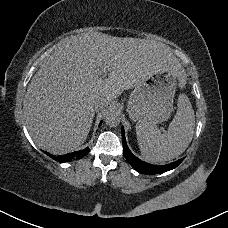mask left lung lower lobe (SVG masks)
<instances>
[{"instance_id": "0a47b994", "label": "left lung lower lobe", "mask_w": 228, "mask_h": 228, "mask_svg": "<svg viewBox=\"0 0 228 228\" xmlns=\"http://www.w3.org/2000/svg\"><path fill=\"white\" fill-rule=\"evenodd\" d=\"M122 140H123V153L126 157V160L130 163V165L134 169L146 175L160 174V173L172 170L176 168L179 164H181V162L184 160V158H182L173 163H169L162 166L146 163L140 160L139 158H137L135 155H133L132 152L129 150L126 144L123 127H122Z\"/></svg>"}]
</instances>
